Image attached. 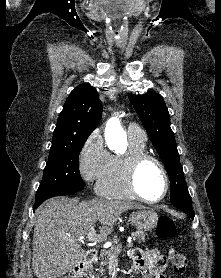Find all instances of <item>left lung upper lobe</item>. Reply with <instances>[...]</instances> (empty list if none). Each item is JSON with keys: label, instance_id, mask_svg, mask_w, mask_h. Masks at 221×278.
Masks as SVG:
<instances>
[{"label": "left lung upper lobe", "instance_id": "obj_1", "mask_svg": "<svg viewBox=\"0 0 221 278\" xmlns=\"http://www.w3.org/2000/svg\"><path fill=\"white\" fill-rule=\"evenodd\" d=\"M128 97L145 125L147 134L167 170L171 185L170 199L172 204L192 202L164 100L155 92H147L143 95L128 94Z\"/></svg>", "mask_w": 221, "mask_h": 278}]
</instances>
